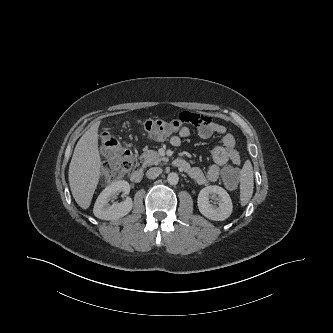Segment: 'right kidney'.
Returning <instances> with one entry per match:
<instances>
[{
    "instance_id": "right-kidney-1",
    "label": "right kidney",
    "mask_w": 333,
    "mask_h": 333,
    "mask_svg": "<svg viewBox=\"0 0 333 333\" xmlns=\"http://www.w3.org/2000/svg\"><path fill=\"white\" fill-rule=\"evenodd\" d=\"M117 192H123L124 195L129 194V183L124 180L113 182L100 193L93 209V213L97 218L102 220L119 219L132 210L133 202L129 197L120 203L116 202L109 205V201Z\"/></svg>"
}]
</instances>
